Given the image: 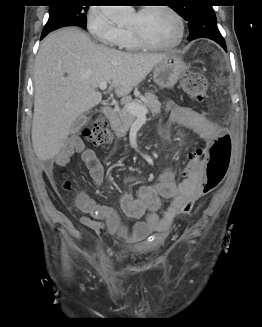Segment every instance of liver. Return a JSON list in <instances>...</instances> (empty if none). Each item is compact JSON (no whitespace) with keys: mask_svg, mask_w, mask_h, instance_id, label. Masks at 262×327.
Returning <instances> with one entry per match:
<instances>
[{"mask_svg":"<svg viewBox=\"0 0 262 327\" xmlns=\"http://www.w3.org/2000/svg\"><path fill=\"white\" fill-rule=\"evenodd\" d=\"M167 57L98 45L74 27L49 34L34 66L32 145L37 158L47 161L60 152L73 121L101 102L96 90L101 82L127 95Z\"/></svg>","mask_w":262,"mask_h":327,"instance_id":"6515ba94","label":"liver"}]
</instances>
